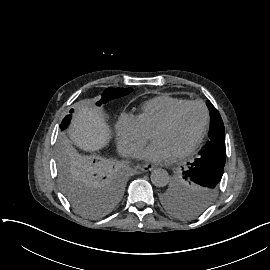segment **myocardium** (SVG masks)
Masks as SVG:
<instances>
[{
  "instance_id": "obj_1",
  "label": "myocardium",
  "mask_w": 270,
  "mask_h": 270,
  "mask_svg": "<svg viewBox=\"0 0 270 270\" xmlns=\"http://www.w3.org/2000/svg\"><path fill=\"white\" fill-rule=\"evenodd\" d=\"M192 106H199L202 108L203 113H204V118H203V124H202V128L201 131L197 137V139L183 152H181L180 154L177 155V157L179 159L185 158L187 156H189L190 154H192L193 152H195L198 147L201 145L208 125H209V112L208 109L206 107V105L201 102V101H190L187 104H185L184 106H182L181 108H179L178 110H176L168 119L164 120L163 122L159 123L152 131H155L157 129H161V128H170L173 125L176 124V122L179 120L180 116L190 107Z\"/></svg>"
}]
</instances>
